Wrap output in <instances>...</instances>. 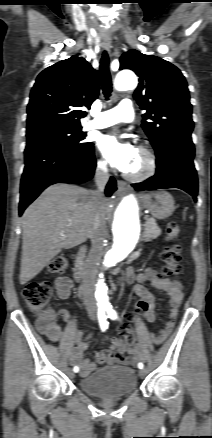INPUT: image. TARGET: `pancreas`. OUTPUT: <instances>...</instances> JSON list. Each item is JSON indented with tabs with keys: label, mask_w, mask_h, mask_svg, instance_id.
I'll return each instance as SVG.
<instances>
[{
	"label": "pancreas",
	"mask_w": 212,
	"mask_h": 438,
	"mask_svg": "<svg viewBox=\"0 0 212 438\" xmlns=\"http://www.w3.org/2000/svg\"><path fill=\"white\" fill-rule=\"evenodd\" d=\"M144 238L146 242L156 239L161 234V229L157 226L156 220L152 217H145Z\"/></svg>",
	"instance_id": "1"
}]
</instances>
